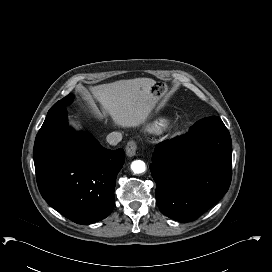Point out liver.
Instances as JSON below:
<instances>
[{
  "instance_id": "1",
  "label": "liver",
  "mask_w": 272,
  "mask_h": 272,
  "mask_svg": "<svg viewBox=\"0 0 272 272\" xmlns=\"http://www.w3.org/2000/svg\"><path fill=\"white\" fill-rule=\"evenodd\" d=\"M154 82L150 78H135L94 86L90 90L116 125L138 127L152 111L150 90Z\"/></svg>"
}]
</instances>
